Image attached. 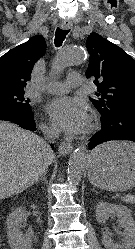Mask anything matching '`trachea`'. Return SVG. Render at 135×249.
I'll use <instances>...</instances> for the list:
<instances>
[{
    "instance_id": "obj_1",
    "label": "trachea",
    "mask_w": 135,
    "mask_h": 249,
    "mask_svg": "<svg viewBox=\"0 0 135 249\" xmlns=\"http://www.w3.org/2000/svg\"><path fill=\"white\" fill-rule=\"evenodd\" d=\"M70 30H64V29H60L57 28L56 29V33H55V46L59 47L62 45L64 39L66 38V35L69 33Z\"/></svg>"
}]
</instances>
